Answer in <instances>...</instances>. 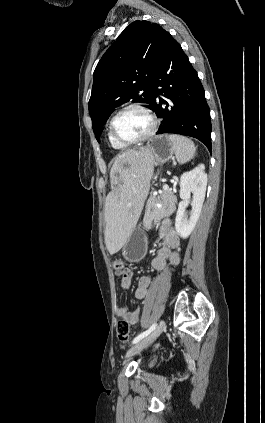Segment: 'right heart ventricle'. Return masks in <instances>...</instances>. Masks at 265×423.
I'll return each mask as SVG.
<instances>
[{
    "label": "right heart ventricle",
    "instance_id": "e07e8e85",
    "mask_svg": "<svg viewBox=\"0 0 265 423\" xmlns=\"http://www.w3.org/2000/svg\"><path fill=\"white\" fill-rule=\"evenodd\" d=\"M108 140H109V144L110 146L115 149V150H124L127 146L120 144L119 142H117L116 140H114L110 134V132L108 133Z\"/></svg>",
    "mask_w": 265,
    "mask_h": 423
}]
</instances>
